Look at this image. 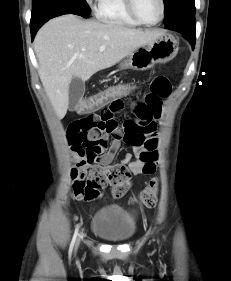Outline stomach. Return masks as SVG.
<instances>
[{"label": "stomach", "instance_id": "obj_1", "mask_svg": "<svg viewBox=\"0 0 231 281\" xmlns=\"http://www.w3.org/2000/svg\"><path fill=\"white\" fill-rule=\"evenodd\" d=\"M178 52L175 38L163 34L151 43H147L133 51L124 62L122 68L143 71L153 67L157 63H166L172 60Z\"/></svg>", "mask_w": 231, "mask_h": 281}]
</instances>
